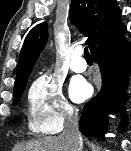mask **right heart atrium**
Masks as SVG:
<instances>
[{
    "instance_id": "right-heart-atrium-1",
    "label": "right heart atrium",
    "mask_w": 131,
    "mask_h": 151,
    "mask_svg": "<svg viewBox=\"0 0 131 151\" xmlns=\"http://www.w3.org/2000/svg\"><path fill=\"white\" fill-rule=\"evenodd\" d=\"M30 126L44 135L60 132L76 113L66 99L62 84L49 75H41L28 90Z\"/></svg>"
}]
</instances>
